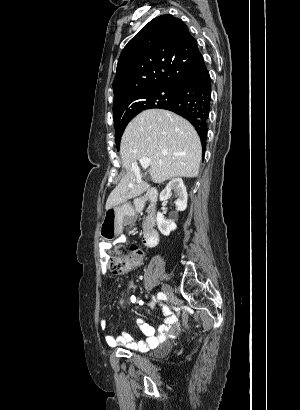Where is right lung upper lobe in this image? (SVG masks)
<instances>
[{"label": "right lung upper lobe", "instance_id": "right-lung-upper-lobe-1", "mask_svg": "<svg viewBox=\"0 0 300 410\" xmlns=\"http://www.w3.org/2000/svg\"><path fill=\"white\" fill-rule=\"evenodd\" d=\"M203 56L182 20L161 15L151 20L125 46L113 82L114 118L134 113L142 92L180 87Z\"/></svg>", "mask_w": 300, "mask_h": 410}]
</instances>
